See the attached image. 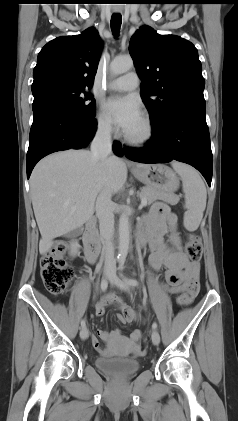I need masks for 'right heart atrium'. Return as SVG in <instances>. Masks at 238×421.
I'll list each match as a JSON object with an SVG mask.
<instances>
[{
	"label": "right heart atrium",
	"instance_id": "d8ad5b80",
	"mask_svg": "<svg viewBox=\"0 0 238 421\" xmlns=\"http://www.w3.org/2000/svg\"><path fill=\"white\" fill-rule=\"evenodd\" d=\"M96 125L98 132L104 136H111L115 132V128L110 118L103 111L97 113Z\"/></svg>",
	"mask_w": 238,
	"mask_h": 421
}]
</instances>
